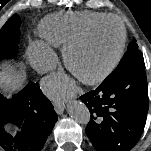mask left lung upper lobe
<instances>
[{
    "label": "left lung upper lobe",
    "instance_id": "left-lung-upper-lobe-1",
    "mask_svg": "<svg viewBox=\"0 0 151 151\" xmlns=\"http://www.w3.org/2000/svg\"><path fill=\"white\" fill-rule=\"evenodd\" d=\"M136 65L145 66V63H144L143 54L139 50L138 44L134 39V41H132L129 44L128 49L124 54V57L120 61L119 65L117 66L116 70L112 72L104 81L110 80L111 78L115 77L119 73Z\"/></svg>",
    "mask_w": 151,
    "mask_h": 151
}]
</instances>
